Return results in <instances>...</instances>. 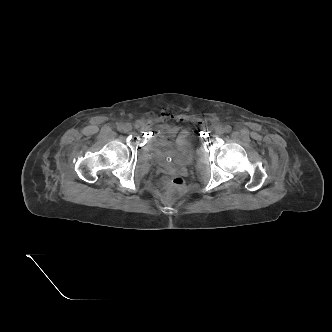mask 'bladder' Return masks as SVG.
<instances>
[{
  "instance_id": "31cf9c89",
  "label": "bladder",
  "mask_w": 332,
  "mask_h": 332,
  "mask_svg": "<svg viewBox=\"0 0 332 332\" xmlns=\"http://www.w3.org/2000/svg\"><path fill=\"white\" fill-rule=\"evenodd\" d=\"M148 147L153 152L157 163L160 165L168 164V158H170L172 162L185 165L191 160L195 152L196 143L194 136L189 135L180 145L162 146L157 141L150 140Z\"/></svg>"
}]
</instances>
